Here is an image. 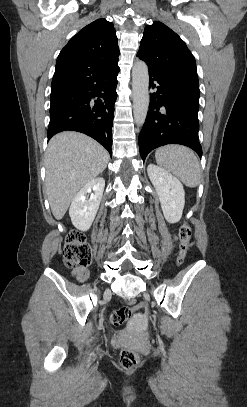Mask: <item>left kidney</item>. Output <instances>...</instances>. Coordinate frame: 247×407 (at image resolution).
Segmentation results:
<instances>
[{
	"mask_svg": "<svg viewBox=\"0 0 247 407\" xmlns=\"http://www.w3.org/2000/svg\"><path fill=\"white\" fill-rule=\"evenodd\" d=\"M147 173L159 197L161 208L167 222L180 221L185 205V191L181 182L169 172L149 164Z\"/></svg>",
	"mask_w": 247,
	"mask_h": 407,
	"instance_id": "left-kidney-1",
	"label": "left kidney"
}]
</instances>
